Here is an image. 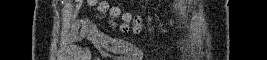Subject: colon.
Segmentation results:
<instances>
[{"label":"colon","mask_w":267,"mask_h":60,"mask_svg":"<svg viewBox=\"0 0 267 60\" xmlns=\"http://www.w3.org/2000/svg\"><path fill=\"white\" fill-rule=\"evenodd\" d=\"M92 5H95V8L98 12V17L107 18L111 25L118 26L124 31H139L143 22L140 17H133L128 13H121L117 8L110 7L107 3L97 1H89Z\"/></svg>","instance_id":"5ec220e1"}]
</instances>
